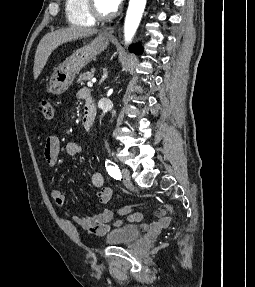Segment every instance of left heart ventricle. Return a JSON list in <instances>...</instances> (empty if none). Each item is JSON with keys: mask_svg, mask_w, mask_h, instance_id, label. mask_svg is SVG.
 <instances>
[{"mask_svg": "<svg viewBox=\"0 0 255 287\" xmlns=\"http://www.w3.org/2000/svg\"><path fill=\"white\" fill-rule=\"evenodd\" d=\"M115 39H124V38H115ZM113 48H129V47H113Z\"/></svg>", "mask_w": 255, "mask_h": 287, "instance_id": "obj_1", "label": "left heart ventricle"}]
</instances>
